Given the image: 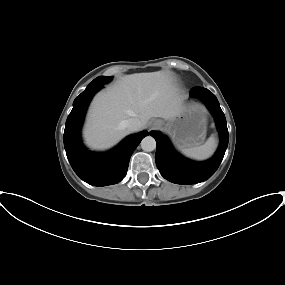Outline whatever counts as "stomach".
<instances>
[{
    "label": "stomach",
    "mask_w": 285,
    "mask_h": 285,
    "mask_svg": "<svg viewBox=\"0 0 285 285\" xmlns=\"http://www.w3.org/2000/svg\"><path fill=\"white\" fill-rule=\"evenodd\" d=\"M206 115L205 108L195 104L166 120L163 128L178 148L198 146L206 136Z\"/></svg>",
    "instance_id": "0dacf381"
}]
</instances>
